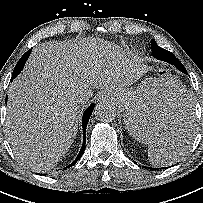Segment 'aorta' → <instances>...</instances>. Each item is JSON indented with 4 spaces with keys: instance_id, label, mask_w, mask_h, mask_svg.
Instances as JSON below:
<instances>
[{
    "instance_id": "762f6f07",
    "label": "aorta",
    "mask_w": 203,
    "mask_h": 203,
    "mask_svg": "<svg viewBox=\"0 0 203 203\" xmlns=\"http://www.w3.org/2000/svg\"><path fill=\"white\" fill-rule=\"evenodd\" d=\"M95 115L102 122H111L116 117V110L112 104L103 102L96 106Z\"/></svg>"
}]
</instances>
